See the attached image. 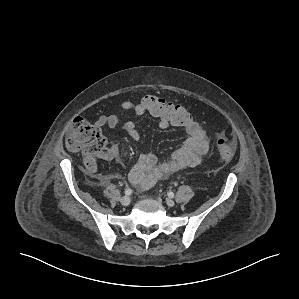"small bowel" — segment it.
I'll return each instance as SVG.
<instances>
[{"label":"small bowel","instance_id":"small-bowel-1","mask_svg":"<svg viewBox=\"0 0 299 299\" xmlns=\"http://www.w3.org/2000/svg\"><path fill=\"white\" fill-rule=\"evenodd\" d=\"M121 108L125 111L132 112L136 115L146 113L143 104L139 101L133 103L131 101H123ZM121 122V116L118 114L101 115L95 121L97 127L113 128ZM159 126L166 129L170 124L166 121L159 120ZM124 128L128 135L135 141L141 139V133L136 124L132 120H128L124 124ZM187 133V139L183 145L174 151L171 157L164 162H158L155 154L151 152H143L129 173L130 182L140 190H146L152 187L156 182L167 178L183 169L195 167L202 161L203 156L209 149V139L200 124L193 120L184 127ZM119 155V147L117 144H111L103 149L97 156L105 161H113Z\"/></svg>","mask_w":299,"mask_h":299}]
</instances>
